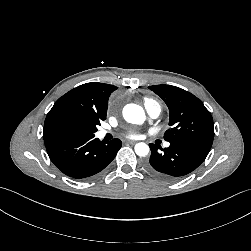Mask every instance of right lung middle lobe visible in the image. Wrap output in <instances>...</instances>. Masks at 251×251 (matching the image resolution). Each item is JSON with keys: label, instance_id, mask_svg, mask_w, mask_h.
<instances>
[{"label": "right lung middle lobe", "instance_id": "1", "mask_svg": "<svg viewBox=\"0 0 251 251\" xmlns=\"http://www.w3.org/2000/svg\"><path fill=\"white\" fill-rule=\"evenodd\" d=\"M94 113L72 106H61L48 113L44 123V140L48 142L95 136L96 126L105 120Z\"/></svg>", "mask_w": 251, "mask_h": 251}]
</instances>
